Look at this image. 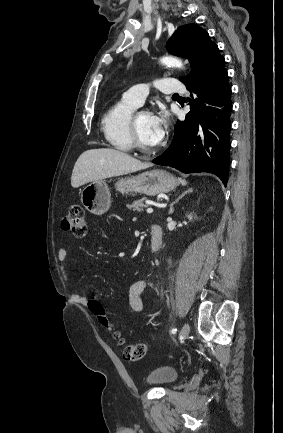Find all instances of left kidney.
<instances>
[{
	"mask_svg": "<svg viewBox=\"0 0 283 433\" xmlns=\"http://www.w3.org/2000/svg\"><path fill=\"white\" fill-rule=\"evenodd\" d=\"M188 219H189V220H192V215H189V216H188Z\"/></svg>",
	"mask_w": 283,
	"mask_h": 433,
	"instance_id": "5707ae66",
	"label": "left kidney"
}]
</instances>
